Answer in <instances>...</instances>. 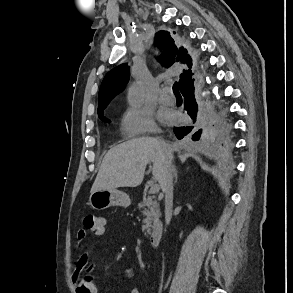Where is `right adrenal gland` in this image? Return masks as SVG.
<instances>
[{"mask_svg": "<svg viewBox=\"0 0 293 293\" xmlns=\"http://www.w3.org/2000/svg\"><path fill=\"white\" fill-rule=\"evenodd\" d=\"M174 176H175V182H177V171H176V169L174 170Z\"/></svg>", "mask_w": 293, "mask_h": 293, "instance_id": "2a0ac1e0", "label": "right adrenal gland"}]
</instances>
